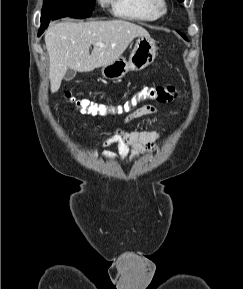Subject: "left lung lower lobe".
<instances>
[{"label":"left lung lower lobe","instance_id":"obj_1","mask_svg":"<svg viewBox=\"0 0 243 289\" xmlns=\"http://www.w3.org/2000/svg\"><path fill=\"white\" fill-rule=\"evenodd\" d=\"M179 34H181V33L179 32ZM181 35L184 37L185 40H187V38L184 34H181Z\"/></svg>","mask_w":243,"mask_h":289}]
</instances>
